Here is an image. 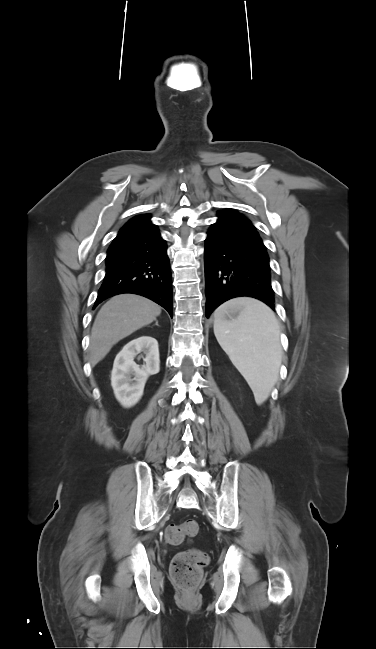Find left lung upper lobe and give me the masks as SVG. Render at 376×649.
<instances>
[{"mask_svg":"<svg viewBox=\"0 0 376 649\" xmlns=\"http://www.w3.org/2000/svg\"><path fill=\"white\" fill-rule=\"evenodd\" d=\"M218 216H224V217H238V218L243 219V220H245L246 222H248V223L251 224V222H250L248 219H246L243 215L239 214L237 211H234V210H232V209H227V210L219 211V212H218Z\"/></svg>","mask_w":376,"mask_h":649,"instance_id":"1","label":"left lung upper lobe"}]
</instances>
